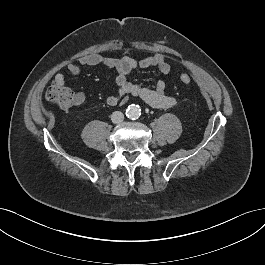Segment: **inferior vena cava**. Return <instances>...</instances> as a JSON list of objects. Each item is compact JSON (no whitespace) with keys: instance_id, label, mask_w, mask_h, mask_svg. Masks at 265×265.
Segmentation results:
<instances>
[{"instance_id":"602c4592","label":"inferior vena cava","mask_w":265,"mask_h":265,"mask_svg":"<svg viewBox=\"0 0 265 265\" xmlns=\"http://www.w3.org/2000/svg\"><path fill=\"white\" fill-rule=\"evenodd\" d=\"M123 119H124V114L120 111H115L111 115V120L115 124L121 123L123 121Z\"/></svg>"}]
</instances>
